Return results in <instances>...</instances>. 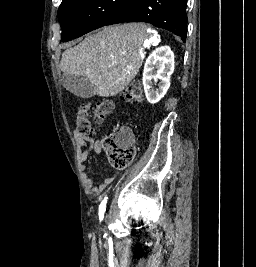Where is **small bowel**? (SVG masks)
Returning <instances> with one entry per match:
<instances>
[{"label":"small bowel","mask_w":256,"mask_h":267,"mask_svg":"<svg viewBox=\"0 0 256 267\" xmlns=\"http://www.w3.org/2000/svg\"><path fill=\"white\" fill-rule=\"evenodd\" d=\"M77 145L81 148L78 155L79 169L85 187L94 194L102 193L115 179V174L107 176L101 183L95 184L94 179L86 173L85 162L89 159L91 153L99 155L103 148V139L94 140L78 132L75 133Z\"/></svg>","instance_id":"1"}]
</instances>
